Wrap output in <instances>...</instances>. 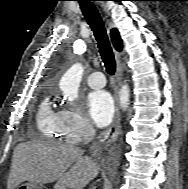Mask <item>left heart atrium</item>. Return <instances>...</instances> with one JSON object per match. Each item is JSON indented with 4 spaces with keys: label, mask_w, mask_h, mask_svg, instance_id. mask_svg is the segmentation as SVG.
<instances>
[{
    "label": "left heart atrium",
    "mask_w": 188,
    "mask_h": 189,
    "mask_svg": "<svg viewBox=\"0 0 188 189\" xmlns=\"http://www.w3.org/2000/svg\"><path fill=\"white\" fill-rule=\"evenodd\" d=\"M88 111L97 126H106L114 114L112 96L106 91H96L88 97Z\"/></svg>",
    "instance_id": "39dd6f15"
}]
</instances>
